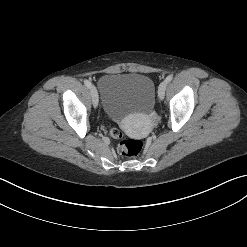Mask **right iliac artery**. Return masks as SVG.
Returning <instances> with one entry per match:
<instances>
[{
  "label": "right iliac artery",
  "mask_w": 247,
  "mask_h": 247,
  "mask_svg": "<svg viewBox=\"0 0 247 247\" xmlns=\"http://www.w3.org/2000/svg\"><path fill=\"white\" fill-rule=\"evenodd\" d=\"M84 84L88 87V88H91V82L88 81V80H84Z\"/></svg>",
  "instance_id": "obj_1"
}]
</instances>
